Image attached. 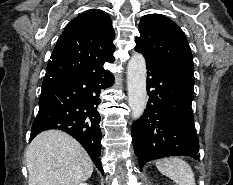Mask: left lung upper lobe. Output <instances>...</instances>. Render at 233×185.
Instances as JSON below:
<instances>
[{
  "label": "left lung upper lobe",
  "instance_id": "left-lung-upper-lobe-1",
  "mask_svg": "<svg viewBox=\"0 0 233 185\" xmlns=\"http://www.w3.org/2000/svg\"><path fill=\"white\" fill-rule=\"evenodd\" d=\"M135 50L146 62L193 72L192 53L179 26L161 14L145 15L138 26Z\"/></svg>",
  "mask_w": 233,
  "mask_h": 185
}]
</instances>
